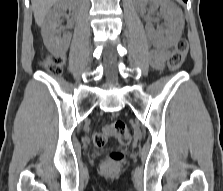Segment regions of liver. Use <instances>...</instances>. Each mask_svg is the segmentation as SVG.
Wrapping results in <instances>:
<instances>
[{"label": "liver", "mask_w": 223, "mask_h": 191, "mask_svg": "<svg viewBox=\"0 0 223 191\" xmlns=\"http://www.w3.org/2000/svg\"><path fill=\"white\" fill-rule=\"evenodd\" d=\"M34 12L35 22L38 26L44 25L46 15L51 7L58 2V0H31Z\"/></svg>", "instance_id": "liver-1"}]
</instances>
